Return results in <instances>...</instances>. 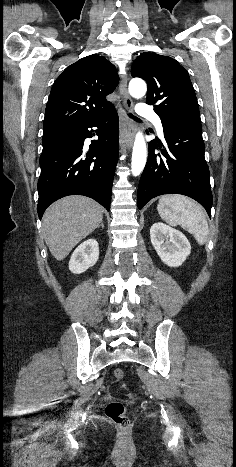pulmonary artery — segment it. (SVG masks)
Returning <instances> with one entry per match:
<instances>
[{
    "instance_id": "1",
    "label": "pulmonary artery",
    "mask_w": 236,
    "mask_h": 467,
    "mask_svg": "<svg viewBox=\"0 0 236 467\" xmlns=\"http://www.w3.org/2000/svg\"><path fill=\"white\" fill-rule=\"evenodd\" d=\"M137 112L140 116L153 121L158 133L160 135H163V126H162L161 120L159 116L155 113V111L153 110L152 106L146 103H140L138 106Z\"/></svg>"
}]
</instances>
